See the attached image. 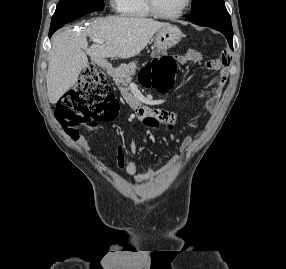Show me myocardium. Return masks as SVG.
Here are the masks:
<instances>
[{"label": "myocardium", "mask_w": 286, "mask_h": 269, "mask_svg": "<svg viewBox=\"0 0 286 269\" xmlns=\"http://www.w3.org/2000/svg\"><path fill=\"white\" fill-rule=\"evenodd\" d=\"M145 3H146V6H147L149 12L154 17H157V18H160V19L173 20V19L180 18L181 16H183L186 13V11L188 10V8L191 5V0H186L185 3H184V6L182 7V9L180 11H178L177 13L171 14V15L162 13L158 9L155 0H145Z\"/></svg>", "instance_id": "myocardium-1"}]
</instances>
